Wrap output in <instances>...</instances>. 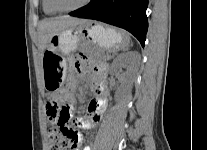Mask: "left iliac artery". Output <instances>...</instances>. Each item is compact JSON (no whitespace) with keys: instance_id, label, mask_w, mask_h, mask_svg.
Masks as SVG:
<instances>
[{"instance_id":"1","label":"left iliac artery","mask_w":207,"mask_h":150,"mask_svg":"<svg viewBox=\"0 0 207 150\" xmlns=\"http://www.w3.org/2000/svg\"><path fill=\"white\" fill-rule=\"evenodd\" d=\"M84 150H90V147H89V146H86V147L84 148Z\"/></svg>"}]
</instances>
